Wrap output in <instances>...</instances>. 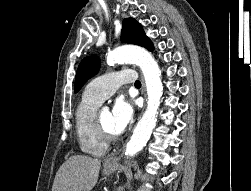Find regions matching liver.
I'll use <instances>...</instances> for the list:
<instances>
[{
  "label": "liver",
  "mask_w": 251,
  "mask_h": 191,
  "mask_svg": "<svg viewBox=\"0 0 251 191\" xmlns=\"http://www.w3.org/2000/svg\"><path fill=\"white\" fill-rule=\"evenodd\" d=\"M101 159L88 155H71L59 167L52 191H91L97 183Z\"/></svg>",
  "instance_id": "liver-1"
}]
</instances>
